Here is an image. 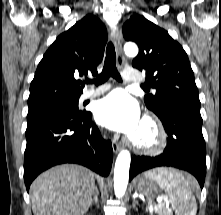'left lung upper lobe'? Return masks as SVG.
Listing matches in <instances>:
<instances>
[{
	"label": "left lung upper lobe",
	"mask_w": 221,
	"mask_h": 215,
	"mask_svg": "<svg viewBox=\"0 0 221 215\" xmlns=\"http://www.w3.org/2000/svg\"><path fill=\"white\" fill-rule=\"evenodd\" d=\"M126 41L139 46L132 66L146 70V80L156 89L144 97L146 106L155 114L168 102L200 108L199 93L188 56L167 31L140 15H134L123 26Z\"/></svg>",
	"instance_id": "5c2ea615"
}]
</instances>
